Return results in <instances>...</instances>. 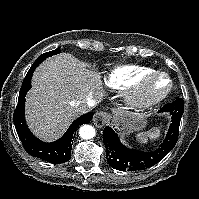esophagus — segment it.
I'll return each mask as SVG.
<instances>
[{"label":"esophagus","instance_id":"esophagus-1","mask_svg":"<svg viewBox=\"0 0 199 199\" xmlns=\"http://www.w3.org/2000/svg\"><path fill=\"white\" fill-rule=\"evenodd\" d=\"M111 118V115L104 111H99L94 115L93 123L96 127L102 128L106 124H108L109 120Z\"/></svg>","mask_w":199,"mask_h":199}]
</instances>
